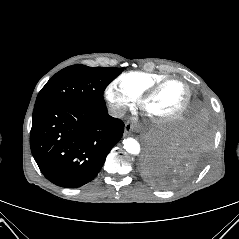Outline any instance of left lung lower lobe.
I'll list each match as a JSON object with an SVG mask.
<instances>
[{
	"instance_id": "obj_1",
	"label": "left lung lower lobe",
	"mask_w": 239,
	"mask_h": 239,
	"mask_svg": "<svg viewBox=\"0 0 239 239\" xmlns=\"http://www.w3.org/2000/svg\"><path fill=\"white\" fill-rule=\"evenodd\" d=\"M212 138L208 111L195 103L165 134L147 146L144 176L161 188H172L194 176L205 161Z\"/></svg>"
}]
</instances>
